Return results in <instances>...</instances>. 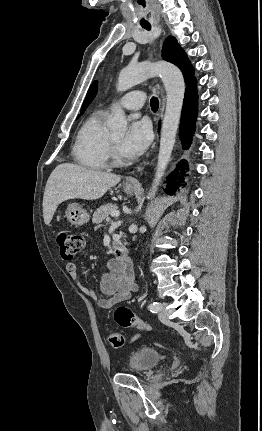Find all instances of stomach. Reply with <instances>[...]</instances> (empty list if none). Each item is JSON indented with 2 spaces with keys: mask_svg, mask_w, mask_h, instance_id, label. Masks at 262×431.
Listing matches in <instances>:
<instances>
[{
  "mask_svg": "<svg viewBox=\"0 0 262 431\" xmlns=\"http://www.w3.org/2000/svg\"><path fill=\"white\" fill-rule=\"evenodd\" d=\"M136 188L132 186H124V191L127 194H133ZM68 221L75 226L86 224L90 220V215L86 209L82 208L78 203L68 204L66 211Z\"/></svg>",
  "mask_w": 262,
  "mask_h": 431,
  "instance_id": "obj_1",
  "label": "stomach"
}]
</instances>
